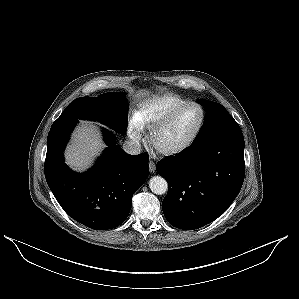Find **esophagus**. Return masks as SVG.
<instances>
[{
  "instance_id": "1",
  "label": "esophagus",
  "mask_w": 299,
  "mask_h": 299,
  "mask_svg": "<svg viewBox=\"0 0 299 299\" xmlns=\"http://www.w3.org/2000/svg\"><path fill=\"white\" fill-rule=\"evenodd\" d=\"M149 171H150V173H155V171H156V166L153 161L149 162Z\"/></svg>"
}]
</instances>
